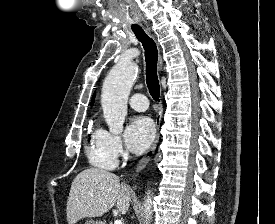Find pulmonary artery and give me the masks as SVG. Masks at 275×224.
I'll return each instance as SVG.
<instances>
[{"instance_id":"pulmonary-artery-1","label":"pulmonary artery","mask_w":275,"mask_h":224,"mask_svg":"<svg viewBox=\"0 0 275 224\" xmlns=\"http://www.w3.org/2000/svg\"><path fill=\"white\" fill-rule=\"evenodd\" d=\"M130 106L136 111H145L148 109V99L143 94H134L129 99Z\"/></svg>"}]
</instances>
